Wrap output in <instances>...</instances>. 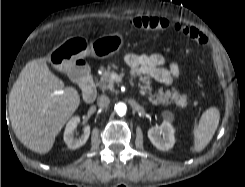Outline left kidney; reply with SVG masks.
<instances>
[{
    "label": "left kidney",
    "mask_w": 245,
    "mask_h": 187,
    "mask_svg": "<svg viewBox=\"0 0 245 187\" xmlns=\"http://www.w3.org/2000/svg\"><path fill=\"white\" fill-rule=\"evenodd\" d=\"M163 122L160 126L152 127L148 130V138L151 143L161 151H167L174 146V128L171 121L174 119V115L169 111L162 113Z\"/></svg>",
    "instance_id": "obj_1"
}]
</instances>
